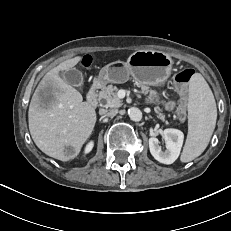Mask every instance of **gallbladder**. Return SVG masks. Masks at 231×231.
<instances>
[{"instance_id":"bac80fb5","label":"gallbladder","mask_w":231,"mask_h":231,"mask_svg":"<svg viewBox=\"0 0 231 231\" xmlns=\"http://www.w3.org/2000/svg\"><path fill=\"white\" fill-rule=\"evenodd\" d=\"M62 76L64 81L71 86L79 87L83 83L82 73L75 68L63 72Z\"/></svg>"}]
</instances>
